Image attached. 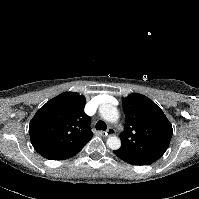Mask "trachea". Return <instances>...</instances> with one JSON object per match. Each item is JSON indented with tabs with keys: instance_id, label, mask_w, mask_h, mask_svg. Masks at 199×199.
Wrapping results in <instances>:
<instances>
[{
	"instance_id": "trachea-1",
	"label": "trachea",
	"mask_w": 199,
	"mask_h": 199,
	"mask_svg": "<svg viewBox=\"0 0 199 199\" xmlns=\"http://www.w3.org/2000/svg\"><path fill=\"white\" fill-rule=\"evenodd\" d=\"M95 127H96L97 130H103V131H105L107 129V125L103 121H98L96 123Z\"/></svg>"
}]
</instances>
